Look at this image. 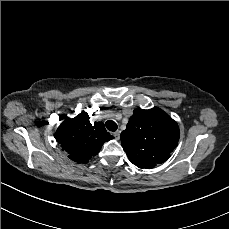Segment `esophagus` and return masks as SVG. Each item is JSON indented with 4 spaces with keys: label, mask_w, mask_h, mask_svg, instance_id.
Instances as JSON below:
<instances>
[{
    "label": "esophagus",
    "mask_w": 229,
    "mask_h": 229,
    "mask_svg": "<svg viewBox=\"0 0 229 229\" xmlns=\"http://www.w3.org/2000/svg\"><path fill=\"white\" fill-rule=\"evenodd\" d=\"M113 135L116 138V140H119L120 139V131L114 132Z\"/></svg>",
    "instance_id": "obj_1"
}]
</instances>
